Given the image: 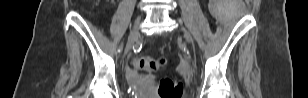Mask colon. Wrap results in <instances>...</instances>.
<instances>
[{
  "label": "colon",
  "instance_id": "5ec220e1",
  "mask_svg": "<svg viewBox=\"0 0 308 98\" xmlns=\"http://www.w3.org/2000/svg\"><path fill=\"white\" fill-rule=\"evenodd\" d=\"M133 67L140 70L156 71L165 66L164 58L136 57L132 61ZM158 92L160 98H178L183 93V84L164 79L160 82Z\"/></svg>",
  "mask_w": 308,
  "mask_h": 98
}]
</instances>
